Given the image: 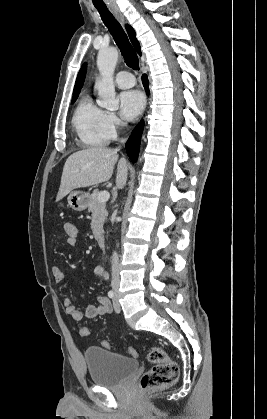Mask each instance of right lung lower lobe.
Returning a JSON list of instances; mask_svg holds the SVG:
<instances>
[{"instance_id": "1", "label": "right lung lower lobe", "mask_w": 267, "mask_h": 419, "mask_svg": "<svg viewBox=\"0 0 267 419\" xmlns=\"http://www.w3.org/2000/svg\"><path fill=\"white\" fill-rule=\"evenodd\" d=\"M142 82H143V85H144V88H145L147 94H149V89H148L149 82H148V79H147L146 75H143ZM143 126H144L143 121L138 123V125L133 129V131H132V133H131V135H130L127 143H126L127 154L133 162H136L137 158H138Z\"/></svg>"}]
</instances>
